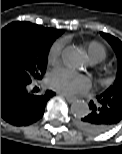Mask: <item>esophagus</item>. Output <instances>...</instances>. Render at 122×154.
Returning <instances> with one entry per match:
<instances>
[{
	"label": "esophagus",
	"mask_w": 122,
	"mask_h": 154,
	"mask_svg": "<svg viewBox=\"0 0 122 154\" xmlns=\"http://www.w3.org/2000/svg\"><path fill=\"white\" fill-rule=\"evenodd\" d=\"M58 94L62 95L63 97H65L66 100L68 101V103H73L76 100V98H74V97L66 96V95L61 94V93H58Z\"/></svg>",
	"instance_id": "1"
}]
</instances>
